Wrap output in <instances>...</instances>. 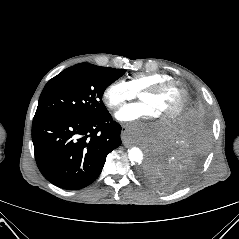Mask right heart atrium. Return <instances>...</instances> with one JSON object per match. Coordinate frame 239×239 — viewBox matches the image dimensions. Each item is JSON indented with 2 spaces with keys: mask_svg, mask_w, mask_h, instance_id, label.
Here are the masks:
<instances>
[{
  "mask_svg": "<svg viewBox=\"0 0 239 239\" xmlns=\"http://www.w3.org/2000/svg\"><path fill=\"white\" fill-rule=\"evenodd\" d=\"M135 96L136 93L131 90L124 80L111 82L102 93L103 102L112 112L118 111L127 101L132 100Z\"/></svg>",
  "mask_w": 239,
  "mask_h": 239,
  "instance_id": "d8ad5b80",
  "label": "right heart atrium"
}]
</instances>
